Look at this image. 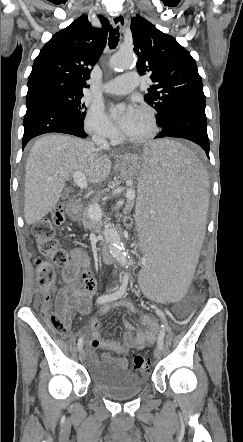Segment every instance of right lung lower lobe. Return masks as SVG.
Listing matches in <instances>:
<instances>
[{
  "mask_svg": "<svg viewBox=\"0 0 243 442\" xmlns=\"http://www.w3.org/2000/svg\"><path fill=\"white\" fill-rule=\"evenodd\" d=\"M22 148L34 137L50 132H60L86 137L83 122L77 119L63 102L49 96L26 98Z\"/></svg>",
  "mask_w": 243,
  "mask_h": 442,
  "instance_id": "1",
  "label": "right lung lower lobe"
}]
</instances>
